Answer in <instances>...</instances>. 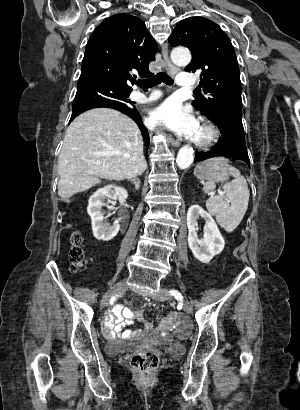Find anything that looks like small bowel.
Instances as JSON below:
<instances>
[{
	"mask_svg": "<svg viewBox=\"0 0 300 410\" xmlns=\"http://www.w3.org/2000/svg\"><path fill=\"white\" fill-rule=\"evenodd\" d=\"M134 320L149 324L145 322L141 316L131 312L123 305H115L105 315L103 320V334L108 339L129 338L138 335L140 331H131L125 329L131 325Z\"/></svg>",
	"mask_w": 300,
	"mask_h": 410,
	"instance_id": "1",
	"label": "small bowel"
}]
</instances>
